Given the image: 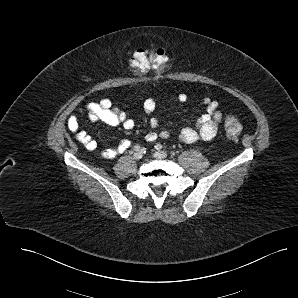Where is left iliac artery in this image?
<instances>
[{
    "label": "left iliac artery",
    "instance_id": "44dca946",
    "mask_svg": "<svg viewBox=\"0 0 298 298\" xmlns=\"http://www.w3.org/2000/svg\"><path fill=\"white\" fill-rule=\"evenodd\" d=\"M155 148H156L157 150H161V149H162V145H161V144H156V145H155Z\"/></svg>",
    "mask_w": 298,
    "mask_h": 298
}]
</instances>
